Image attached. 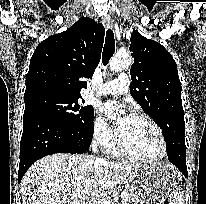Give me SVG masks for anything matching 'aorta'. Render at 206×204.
Instances as JSON below:
<instances>
[{
  "instance_id": "obj_1",
  "label": "aorta",
  "mask_w": 206,
  "mask_h": 204,
  "mask_svg": "<svg viewBox=\"0 0 206 204\" xmlns=\"http://www.w3.org/2000/svg\"><path fill=\"white\" fill-rule=\"evenodd\" d=\"M131 65V57L128 54L117 53L109 62L111 71H122Z\"/></svg>"
}]
</instances>
